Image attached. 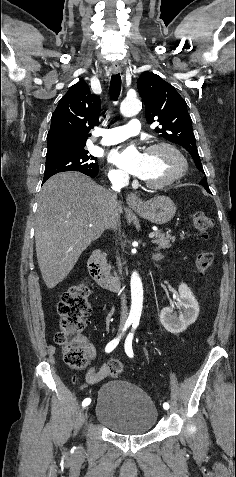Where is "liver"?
I'll use <instances>...</instances> for the list:
<instances>
[{
	"label": "liver",
	"instance_id": "1",
	"mask_svg": "<svg viewBox=\"0 0 236 477\" xmlns=\"http://www.w3.org/2000/svg\"><path fill=\"white\" fill-rule=\"evenodd\" d=\"M112 193L78 172L59 173L42 186L36 214L38 265L47 288L71 272L81 253L107 227ZM118 220L122 206L116 203Z\"/></svg>",
	"mask_w": 236,
	"mask_h": 477
}]
</instances>
